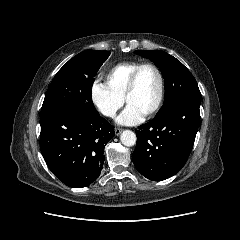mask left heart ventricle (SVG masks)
Wrapping results in <instances>:
<instances>
[{"mask_svg":"<svg viewBox=\"0 0 240 240\" xmlns=\"http://www.w3.org/2000/svg\"><path fill=\"white\" fill-rule=\"evenodd\" d=\"M158 90L159 80L157 74L151 68H144L138 76L136 88L128 97L127 103L144 114L155 103Z\"/></svg>","mask_w":240,"mask_h":240,"instance_id":"b2bd125f","label":"left heart ventricle"}]
</instances>
